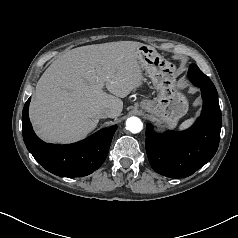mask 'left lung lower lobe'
I'll use <instances>...</instances> for the list:
<instances>
[{"mask_svg":"<svg viewBox=\"0 0 238 238\" xmlns=\"http://www.w3.org/2000/svg\"><path fill=\"white\" fill-rule=\"evenodd\" d=\"M191 82L202 92L203 108L200 118L188 130L157 134L146 126V151L152 168L170 178L192 175L215 155L222 125L216 90L205 83V76L188 72Z\"/></svg>","mask_w":238,"mask_h":238,"instance_id":"left-lung-lower-lobe-1","label":"left lung lower lobe"}]
</instances>
